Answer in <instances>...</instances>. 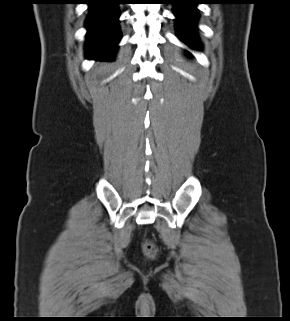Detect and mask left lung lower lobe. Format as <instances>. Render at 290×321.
<instances>
[{
  "label": "left lung lower lobe",
  "mask_w": 290,
  "mask_h": 321,
  "mask_svg": "<svg viewBox=\"0 0 290 321\" xmlns=\"http://www.w3.org/2000/svg\"><path fill=\"white\" fill-rule=\"evenodd\" d=\"M201 3H204V0H171L179 37L185 44L196 49L199 48V41L195 34V22L198 17L196 5Z\"/></svg>",
  "instance_id": "obj_1"
}]
</instances>
